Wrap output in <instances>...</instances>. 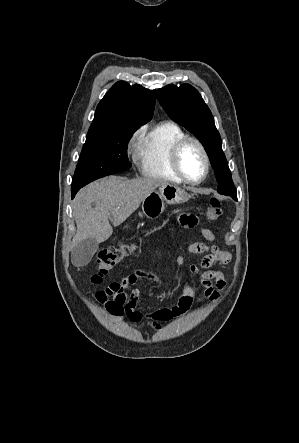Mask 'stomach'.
Here are the masks:
<instances>
[{"label": "stomach", "instance_id": "stomach-1", "mask_svg": "<svg viewBox=\"0 0 299 443\" xmlns=\"http://www.w3.org/2000/svg\"><path fill=\"white\" fill-rule=\"evenodd\" d=\"M190 195L181 188L166 184L150 193L142 202V212L149 218H158L165 209V204L175 205L187 202Z\"/></svg>", "mask_w": 299, "mask_h": 443}]
</instances>
